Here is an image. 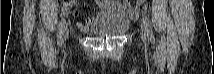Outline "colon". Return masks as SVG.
Returning <instances> with one entry per match:
<instances>
[{"label":"colon","mask_w":214,"mask_h":74,"mask_svg":"<svg viewBox=\"0 0 214 74\" xmlns=\"http://www.w3.org/2000/svg\"><path fill=\"white\" fill-rule=\"evenodd\" d=\"M136 2L139 3V4H142V3H145L146 0H137Z\"/></svg>","instance_id":"1"}]
</instances>
